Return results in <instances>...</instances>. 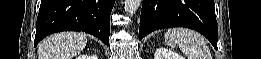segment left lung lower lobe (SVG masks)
I'll use <instances>...</instances> for the list:
<instances>
[{
  "label": "left lung lower lobe",
  "instance_id": "obj_1",
  "mask_svg": "<svg viewBox=\"0 0 261 59\" xmlns=\"http://www.w3.org/2000/svg\"><path fill=\"white\" fill-rule=\"evenodd\" d=\"M172 27L194 29L217 49L214 0H143L139 40L154 30Z\"/></svg>",
  "mask_w": 261,
  "mask_h": 59
}]
</instances>
